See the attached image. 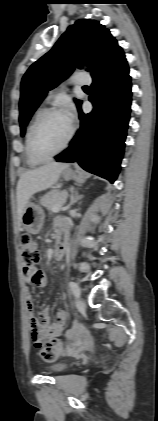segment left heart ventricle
<instances>
[{"mask_svg":"<svg viewBox=\"0 0 158 421\" xmlns=\"http://www.w3.org/2000/svg\"><path fill=\"white\" fill-rule=\"evenodd\" d=\"M70 126L64 113L50 115L36 134L37 151L42 155H49L59 149L69 135Z\"/></svg>","mask_w":158,"mask_h":421,"instance_id":"b2bd125f","label":"left heart ventricle"}]
</instances>
